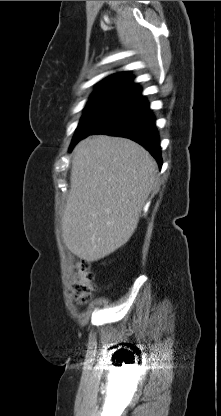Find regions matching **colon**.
Instances as JSON below:
<instances>
[{
  "label": "colon",
  "mask_w": 221,
  "mask_h": 416,
  "mask_svg": "<svg viewBox=\"0 0 221 416\" xmlns=\"http://www.w3.org/2000/svg\"><path fill=\"white\" fill-rule=\"evenodd\" d=\"M75 281L72 285V296L78 305H84L91 297L93 291V273L90 263L83 259L74 261Z\"/></svg>",
  "instance_id": "colon-1"
}]
</instances>
